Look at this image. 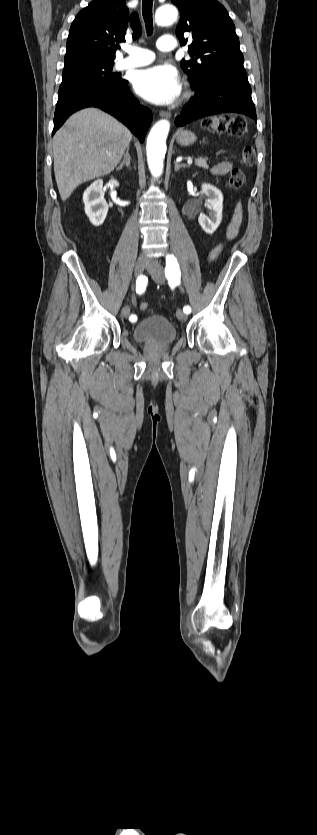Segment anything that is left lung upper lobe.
<instances>
[{"label":"left lung upper lobe","instance_id":"obj_1","mask_svg":"<svg viewBox=\"0 0 317 835\" xmlns=\"http://www.w3.org/2000/svg\"><path fill=\"white\" fill-rule=\"evenodd\" d=\"M180 10L176 34L180 43L184 32L191 33L190 60L181 67L192 85L203 83L217 68L244 69V57L233 21L226 9L215 0H171Z\"/></svg>","mask_w":317,"mask_h":835}]
</instances>
